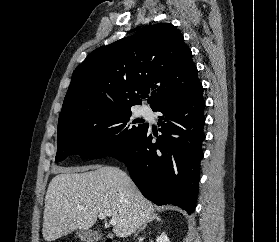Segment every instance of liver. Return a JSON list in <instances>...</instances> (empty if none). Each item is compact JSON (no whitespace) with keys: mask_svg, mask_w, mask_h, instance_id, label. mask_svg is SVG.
I'll list each match as a JSON object with an SVG mask.
<instances>
[{"mask_svg":"<svg viewBox=\"0 0 279 242\" xmlns=\"http://www.w3.org/2000/svg\"><path fill=\"white\" fill-rule=\"evenodd\" d=\"M100 213L116 220L113 233L124 238L152 217L154 207L117 167L60 168L45 196L43 238L54 241L75 230H88Z\"/></svg>","mask_w":279,"mask_h":242,"instance_id":"liver-1","label":"liver"}]
</instances>
